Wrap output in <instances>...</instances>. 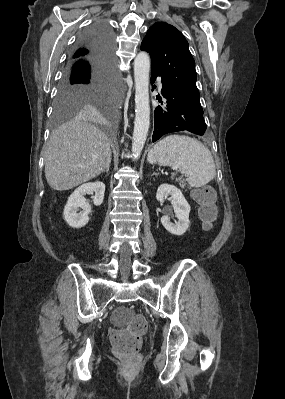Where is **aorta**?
I'll list each match as a JSON object with an SVG mask.
<instances>
[{
	"label": "aorta",
	"mask_w": 285,
	"mask_h": 399,
	"mask_svg": "<svg viewBox=\"0 0 285 399\" xmlns=\"http://www.w3.org/2000/svg\"><path fill=\"white\" fill-rule=\"evenodd\" d=\"M150 57L140 52L134 60L135 121L132 137V156L137 160L143 150L150 126L149 105Z\"/></svg>",
	"instance_id": "762f6f07"
}]
</instances>
